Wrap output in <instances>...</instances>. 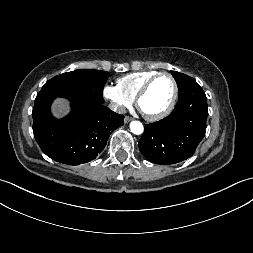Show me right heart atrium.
<instances>
[{"mask_svg": "<svg viewBox=\"0 0 253 253\" xmlns=\"http://www.w3.org/2000/svg\"><path fill=\"white\" fill-rule=\"evenodd\" d=\"M103 97L109 102L111 108L118 113L132 104V100L127 97L117 85H105L103 88Z\"/></svg>", "mask_w": 253, "mask_h": 253, "instance_id": "d8ad5b80", "label": "right heart atrium"}]
</instances>
